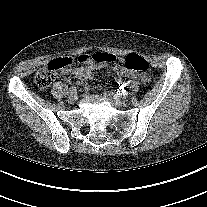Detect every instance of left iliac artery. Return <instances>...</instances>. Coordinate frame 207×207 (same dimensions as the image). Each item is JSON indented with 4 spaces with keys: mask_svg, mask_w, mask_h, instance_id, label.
Returning <instances> with one entry per match:
<instances>
[{
    "mask_svg": "<svg viewBox=\"0 0 207 207\" xmlns=\"http://www.w3.org/2000/svg\"><path fill=\"white\" fill-rule=\"evenodd\" d=\"M120 97H121L122 99H127V98H128V95L125 94L124 92H121V93H120Z\"/></svg>",
    "mask_w": 207,
    "mask_h": 207,
    "instance_id": "44dca946",
    "label": "left iliac artery"
}]
</instances>
